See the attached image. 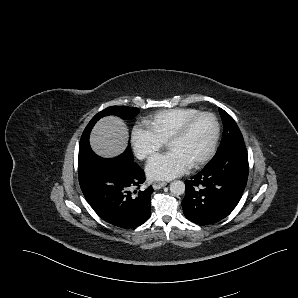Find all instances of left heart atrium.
<instances>
[{
    "label": "left heart atrium",
    "instance_id": "left-heart-atrium-1",
    "mask_svg": "<svg viewBox=\"0 0 298 298\" xmlns=\"http://www.w3.org/2000/svg\"><path fill=\"white\" fill-rule=\"evenodd\" d=\"M188 168L189 165L176 152L168 150L149 159L146 173L155 180H169L180 176Z\"/></svg>",
    "mask_w": 298,
    "mask_h": 298
}]
</instances>
